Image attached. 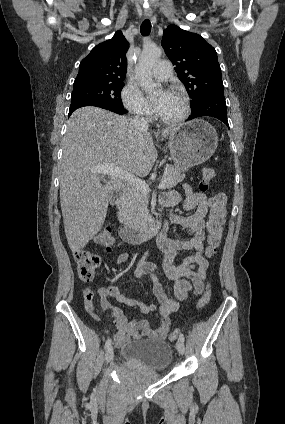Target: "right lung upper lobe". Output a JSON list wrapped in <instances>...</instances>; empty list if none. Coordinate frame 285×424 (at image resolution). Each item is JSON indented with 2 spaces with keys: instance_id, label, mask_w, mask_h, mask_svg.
Returning a JSON list of instances; mask_svg holds the SVG:
<instances>
[{
  "instance_id": "right-lung-upper-lobe-1",
  "label": "right lung upper lobe",
  "mask_w": 285,
  "mask_h": 424,
  "mask_svg": "<svg viewBox=\"0 0 285 424\" xmlns=\"http://www.w3.org/2000/svg\"><path fill=\"white\" fill-rule=\"evenodd\" d=\"M129 42L121 31L113 38L95 46L80 65L75 84L88 82H119L126 77V52Z\"/></svg>"
}]
</instances>
